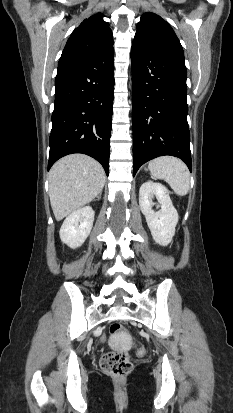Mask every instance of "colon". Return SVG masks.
<instances>
[{"label": "colon", "instance_id": "obj_1", "mask_svg": "<svg viewBox=\"0 0 233 413\" xmlns=\"http://www.w3.org/2000/svg\"><path fill=\"white\" fill-rule=\"evenodd\" d=\"M122 330L120 324L114 323L110 326V332L116 334ZM138 354L144 356L146 349L143 346L138 347ZM102 370L110 376L120 378L126 376L132 369V363L127 354L107 352L100 360Z\"/></svg>", "mask_w": 233, "mask_h": 413}]
</instances>
